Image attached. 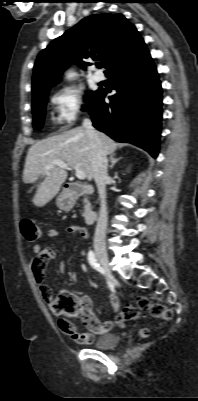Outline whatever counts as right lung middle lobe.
Segmentation results:
<instances>
[{"label":"right lung middle lobe","instance_id":"right-lung-middle-lobe-1","mask_svg":"<svg viewBox=\"0 0 198 401\" xmlns=\"http://www.w3.org/2000/svg\"><path fill=\"white\" fill-rule=\"evenodd\" d=\"M100 92V89L97 91H88L86 94V102L87 104L84 106L87 111L92 105L93 101L96 99ZM48 97V91L42 92L35 96L32 100V110H33V127L34 129H41L44 122L45 116V107L46 101Z\"/></svg>","mask_w":198,"mask_h":401}]
</instances>
